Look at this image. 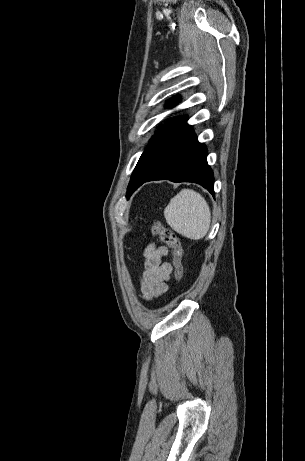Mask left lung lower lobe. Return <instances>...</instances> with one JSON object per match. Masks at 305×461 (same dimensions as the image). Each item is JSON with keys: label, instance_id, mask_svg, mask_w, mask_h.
I'll list each match as a JSON object with an SVG mask.
<instances>
[{"label": "left lung lower lobe", "instance_id": "left-lung-lower-lobe-1", "mask_svg": "<svg viewBox=\"0 0 305 461\" xmlns=\"http://www.w3.org/2000/svg\"><path fill=\"white\" fill-rule=\"evenodd\" d=\"M186 119V116L177 118L162 126L154 135L150 168L130 195L144 182L168 179L198 183L214 196L213 173L206 161L207 149L197 141Z\"/></svg>", "mask_w": 305, "mask_h": 461}]
</instances>
